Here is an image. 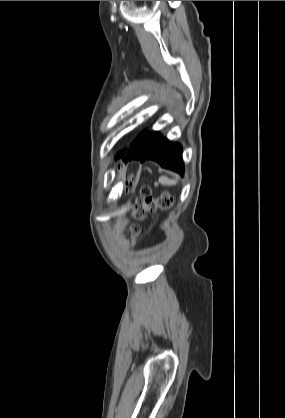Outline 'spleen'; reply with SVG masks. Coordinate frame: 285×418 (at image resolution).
<instances>
[{
  "mask_svg": "<svg viewBox=\"0 0 285 418\" xmlns=\"http://www.w3.org/2000/svg\"><path fill=\"white\" fill-rule=\"evenodd\" d=\"M159 182L163 185H168V186L169 185H175L177 183L175 180H172V179H169V178L163 177V176H161L159 178Z\"/></svg>",
  "mask_w": 285,
  "mask_h": 418,
  "instance_id": "1",
  "label": "spleen"
}]
</instances>
